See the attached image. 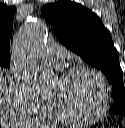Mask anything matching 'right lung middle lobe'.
I'll use <instances>...</instances> for the list:
<instances>
[{
	"label": "right lung middle lobe",
	"instance_id": "dd1d6c3e",
	"mask_svg": "<svg viewBox=\"0 0 125 128\" xmlns=\"http://www.w3.org/2000/svg\"><path fill=\"white\" fill-rule=\"evenodd\" d=\"M0 67L9 68L10 67V61L9 60H0Z\"/></svg>",
	"mask_w": 125,
	"mask_h": 128
}]
</instances>
